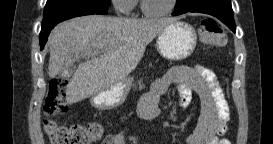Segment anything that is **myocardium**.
Listing matches in <instances>:
<instances>
[{
	"mask_svg": "<svg viewBox=\"0 0 273 144\" xmlns=\"http://www.w3.org/2000/svg\"><path fill=\"white\" fill-rule=\"evenodd\" d=\"M178 0H171L168 7L161 10H150L146 4V0H141V10L144 14L149 16H162L171 13L176 7Z\"/></svg>",
	"mask_w": 273,
	"mask_h": 144,
	"instance_id": "1",
	"label": "myocardium"
}]
</instances>
